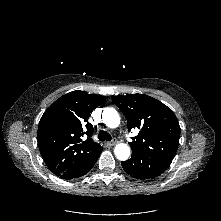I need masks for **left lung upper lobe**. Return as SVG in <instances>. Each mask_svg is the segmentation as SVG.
<instances>
[{
  "instance_id": "5c2ea615",
  "label": "left lung upper lobe",
  "mask_w": 221,
  "mask_h": 221,
  "mask_svg": "<svg viewBox=\"0 0 221 221\" xmlns=\"http://www.w3.org/2000/svg\"><path fill=\"white\" fill-rule=\"evenodd\" d=\"M112 100L126 117L128 131L139 129L130 142L132 153L172 161L180 138V126L173 111L144 94L113 96Z\"/></svg>"
}]
</instances>
